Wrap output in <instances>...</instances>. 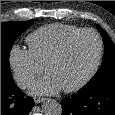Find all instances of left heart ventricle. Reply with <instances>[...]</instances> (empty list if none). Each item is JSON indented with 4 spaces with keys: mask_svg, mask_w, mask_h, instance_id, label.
<instances>
[{
    "mask_svg": "<svg viewBox=\"0 0 115 115\" xmlns=\"http://www.w3.org/2000/svg\"><path fill=\"white\" fill-rule=\"evenodd\" d=\"M98 54V41L92 34L78 37L63 57L51 64L46 72L61 86L69 87L81 81L92 69Z\"/></svg>",
    "mask_w": 115,
    "mask_h": 115,
    "instance_id": "b2bd125f",
    "label": "left heart ventricle"
}]
</instances>
